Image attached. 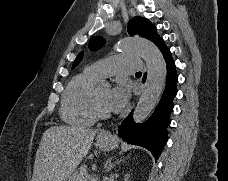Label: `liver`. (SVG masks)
Wrapping results in <instances>:
<instances>
[{
  "label": "liver",
  "mask_w": 228,
  "mask_h": 181,
  "mask_svg": "<svg viewBox=\"0 0 228 181\" xmlns=\"http://www.w3.org/2000/svg\"><path fill=\"white\" fill-rule=\"evenodd\" d=\"M97 131L88 127H50L37 149L32 181H67L86 157Z\"/></svg>",
  "instance_id": "1"
}]
</instances>
